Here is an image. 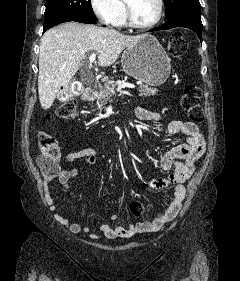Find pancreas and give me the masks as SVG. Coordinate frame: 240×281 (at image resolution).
I'll list each match as a JSON object with an SVG mask.
<instances>
[{"mask_svg": "<svg viewBox=\"0 0 240 281\" xmlns=\"http://www.w3.org/2000/svg\"><path fill=\"white\" fill-rule=\"evenodd\" d=\"M118 85L119 83L117 81H109L104 85H98L99 91L96 93V104L99 108L104 107L108 101H110V97L112 94H114L116 86ZM139 92V96H151L155 95L158 92V89L141 84L139 86Z\"/></svg>", "mask_w": 240, "mask_h": 281, "instance_id": "pancreas-1", "label": "pancreas"}]
</instances>
